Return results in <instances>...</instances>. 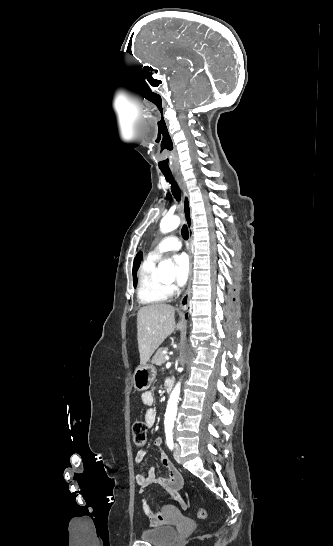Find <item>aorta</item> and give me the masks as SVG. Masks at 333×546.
<instances>
[{
  "label": "aorta",
  "instance_id": "762f6f07",
  "mask_svg": "<svg viewBox=\"0 0 333 546\" xmlns=\"http://www.w3.org/2000/svg\"><path fill=\"white\" fill-rule=\"evenodd\" d=\"M180 224V218L176 215L166 216L161 220L160 230L162 233H168L175 230ZM156 273L159 278L162 279H174L175 271L172 261H161L158 265ZM180 382H178L173 389L165 413V426L168 428H173L174 420L177 414V403L180 395Z\"/></svg>",
  "mask_w": 333,
  "mask_h": 546
}]
</instances>
